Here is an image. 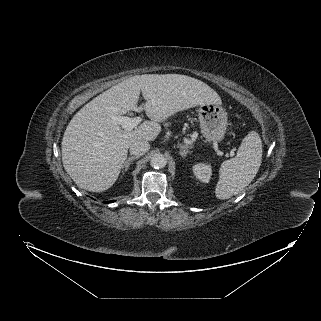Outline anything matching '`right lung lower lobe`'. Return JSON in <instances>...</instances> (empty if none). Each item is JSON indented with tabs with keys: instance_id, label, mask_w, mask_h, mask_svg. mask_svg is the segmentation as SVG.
Wrapping results in <instances>:
<instances>
[{
	"instance_id": "right-lung-lower-lobe-1",
	"label": "right lung lower lobe",
	"mask_w": 321,
	"mask_h": 321,
	"mask_svg": "<svg viewBox=\"0 0 321 321\" xmlns=\"http://www.w3.org/2000/svg\"><path fill=\"white\" fill-rule=\"evenodd\" d=\"M111 202H114V201H109L108 203H111Z\"/></svg>"
}]
</instances>
